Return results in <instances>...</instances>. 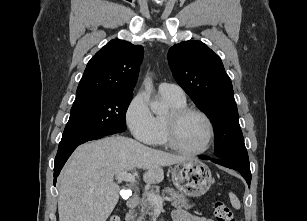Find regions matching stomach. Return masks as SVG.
<instances>
[{"label": "stomach", "mask_w": 307, "mask_h": 221, "mask_svg": "<svg viewBox=\"0 0 307 221\" xmlns=\"http://www.w3.org/2000/svg\"><path fill=\"white\" fill-rule=\"evenodd\" d=\"M172 181L184 195L199 197L209 190L213 178L205 163L196 159H189L174 166Z\"/></svg>", "instance_id": "1"}]
</instances>
